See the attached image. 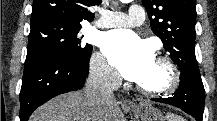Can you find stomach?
Wrapping results in <instances>:
<instances>
[{"mask_svg":"<svg viewBox=\"0 0 217 121\" xmlns=\"http://www.w3.org/2000/svg\"><path fill=\"white\" fill-rule=\"evenodd\" d=\"M132 111L137 118H140V121H165L159 110L147 104L135 106Z\"/></svg>","mask_w":217,"mask_h":121,"instance_id":"stomach-1","label":"stomach"}]
</instances>
